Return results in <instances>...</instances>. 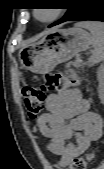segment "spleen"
<instances>
[{"instance_id": "1", "label": "spleen", "mask_w": 104, "mask_h": 169, "mask_svg": "<svg viewBox=\"0 0 104 169\" xmlns=\"http://www.w3.org/2000/svg\"><path fill=\"white\" fill-rule=\"evenodd\" d=\"M80 27L88 29L92 35L91 44L94 47L89 63L97 64L104 59V26L99 22H83Z\"/></svg>"}]
</instances>
